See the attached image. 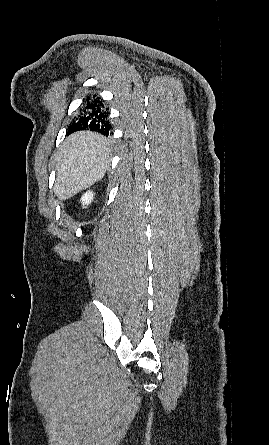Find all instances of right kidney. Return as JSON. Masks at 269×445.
<instances>
[{"label": "right kidney", "mask_w": 269, "mask_h": 445, "mask_svg": "<svg viewBox=\"0 0 269 445\" xmlns=\"http://www.w3.org/2000/svg\"><path fill=\"white\" fill-rule=\"evenodd\" d=\"M93 194L94 193L90 190L83 194V196L81 197V202L83 204V207L91 203V200H93Z\"/></svg>", "instance_id": "1"}]
</instances>
